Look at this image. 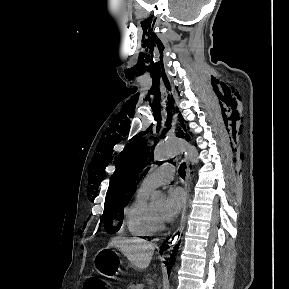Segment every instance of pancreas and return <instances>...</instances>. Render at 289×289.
<instances>
[{
  "mask_svg": "<svg viewBox=\"0 0 289 289\" xmlns=\"http://www.w3.org/2000/svg\"><path fill=\"white\" fill-rule=\"evenodd\" d=\"M129 289H143V287H142L141 285H136V286L131 285V286L129 287Z\"/></svg>",
  "mask_w": 289,
  "mask_h": 289,
  "instance_id": "pancreas-1",
  "label": "pancreas"
}]
</instances>
